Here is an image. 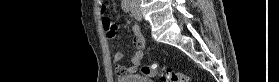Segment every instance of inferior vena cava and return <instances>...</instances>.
<instances>
[{"mask_svg": "<svg viewBox=\"0 0 279 82\" xmlns=\"http://www.w3.org/2000/svg\"><path fill=\"white\" fill-rule=\"evenodd\" d=\"M131 5L134 7V11L138 13V8H139V0H131Z\"/></svg>", "mask_w": 279, "mask_h": 82, "instance_id": "602c4592", "label": "inferior vena cava"}]
</instances>
